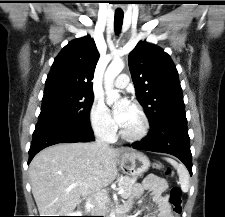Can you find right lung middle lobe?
Listing matches in <instances>:
<instances>
[{"mask_svg":"<svg viewBox=\"0 0 225 217\" xmlns=\"http://www.w3.org/2000/svg\"><path fill=\"white\" fill-rule=\"evenodd\" d=\"M93 100V94L67 91L44 93L40 115H53L74 121H87Z\"/></svg>","mask_w":225,"mask_h":217,"instance_id":"1","label":"right lung middle lobe"}]
</instances>
